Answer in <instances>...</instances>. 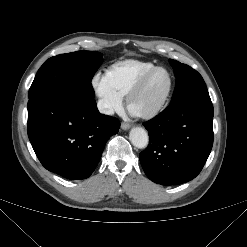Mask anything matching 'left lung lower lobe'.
I'll return each mask as SVG.
<instances>
[{"label": "left lung lower lobe", "mask_w": 247, "mask_h": 247, "mask_svg": "<svg viewBox=\"0 0 247 247\" xmlns=\"http://www.w3.org/2000/svg\"><path fill=\"white\" fill-rule=\"evenodd\" d=\"M213 105L210 96H198L170 104L143 125L149 145L140 162L150 180L178 185L202 170L213 145Z\"/></svg>", "instance_id": "1"}]
</instances>
